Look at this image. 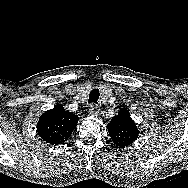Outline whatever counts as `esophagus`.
<instances>
[{"instance_id":"34e87169","label":"esophagus","mask_w":188,"mask_h":188,"mask_svg":"<svg viewBox=\"0 0 188 188\" xmlns=\"http://www.w3.org/2000/svg\"><path fill=\"white\" fill-rule=\"evenodd\" d=\"M89 114L90 115H93V116H97L99 115V107L95 104H92L90 107H89V110H88Z\"/></svg>"}]
</instances>
